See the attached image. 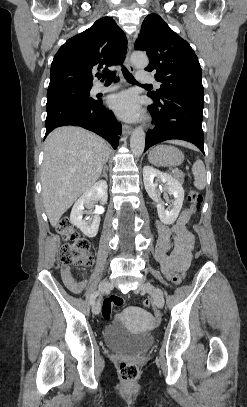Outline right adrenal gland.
Listing matches in <instances>:
<instances>
[{
  "label": "right adrenal gland",
  "mask_w": 247,
  "mask_h": 407,
  "mask_svg": "<svg viewBox=\"0 0 247 407\" xmlns=\"http://www.w3.org/2000/svg\"><path fill=\"white\" fill-rule=\"evenodd\" d=\"M102 177H104L106 180L108 179V176H107V169H106V168L103 170Z\"/></svg>",
  "instance_id": "right-adrenal-gland-1"
}]
</instances>
